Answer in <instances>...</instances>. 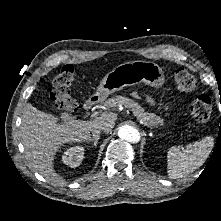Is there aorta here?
<instances>
[{
	"mask_svg": "<svg viewBox=\"0 0 221 221\" xmlns=\"http://www.w3.org/2000/svg\"><path fill=\"white\" fill-rule=\"evenodd\" d=\"M118 136L120 139L130 143H137L140 141V133L136 128L129 125H123L118 129Z\"/></svg>",
	"mask_w": 221,
	"mask_h": 221,
	"instance_id": "762f6f07",
	"label": "aorta"
}]
</instances>
